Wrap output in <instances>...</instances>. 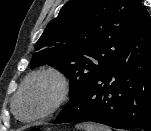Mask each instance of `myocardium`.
I'll return each instance as SVG.
<instances>
[{
	"mask_svg": "<svg viewBox=\"0 0 151 131\" xmlns=\"http://www.w3.org/2000/svg\"><path fill=\"white\" fill-rule=\"evenodd\" d=\"M38 80H51L56 86V94L50 104L44 109L34 115L22 117L19 112V101L29 86ZM69 94L70 81L65 73L54 67L38 69L29 74L22 82L13 99V110L18 117H22L26 120L44 118L57 111L67 101Z\"/></svg>",
	"mask_w": 151,
	"mask_h": 131,
	"instance_id": "obj_1",
	"label": "myocardium"
}]
</instances>
